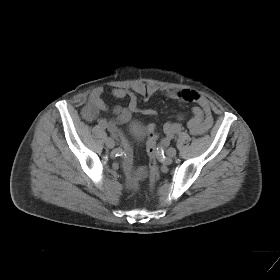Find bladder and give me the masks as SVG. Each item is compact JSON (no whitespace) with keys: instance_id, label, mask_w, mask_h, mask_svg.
Segmentation results:
<instances>
[{"instance_id":"1","label":"bladder","mask_w":280,"mask_h":280,"mask_svg":"<svg viewBox=\"0 0 280 280\" xmlns=\"http://www.w3.org/2000/svg\"><path fill=\"white\" fill-rule=\"evenodd\" d=\"M129 132L132 138L135 139L136 141H140L144 137L143 127L139 123L136 122L132 123L129 126Z\"/></svg>"}]
</instances>
